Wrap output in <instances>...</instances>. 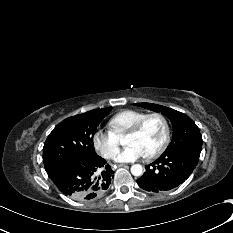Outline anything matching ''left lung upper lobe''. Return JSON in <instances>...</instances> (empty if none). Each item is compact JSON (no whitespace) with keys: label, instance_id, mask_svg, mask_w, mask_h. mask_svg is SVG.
I'll list each match as a JSON object with an SVG mask.
<instances>
[{"label":"left lung upper lobe","instance_id":"left-lung-upper-lobe-1","mask_svg":"<svg viewBox=\"0 0 233 233\" xmlns=\"http://www.w3.org/2000/svg\"><path fill=\"white\" fill-rule=\"evenodd\" d=\"M155 112L166 115L173 127V138L165 151L186 150L200 154L202 149V137L195 122L179 111L151 103H135Z\"/></svg>","mask_w":233,"mask_h":233}]
</instances>
